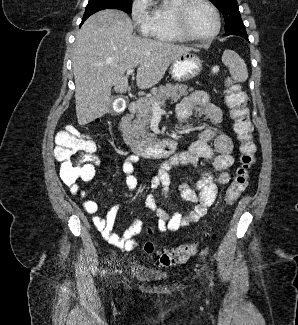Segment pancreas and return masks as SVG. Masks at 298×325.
Wrapping results in <instances>:
<instances>
[{
  "instance_id": "1",
  "label": "pancreas",
  "mask_w": 298,
  "mask_h": 325,
  "mask_svg": "<svg viewBox=\"0 0 298 325\" xmlns=\"http://www.w3.org/2000/svg\"><path fill=\"white\" fill-rule=\"evenodd\" d=\"M194 90L193 86H187V84H161L157 88H151L150 92L152 96H145V98H138L136 100L137 112L135 114L131 126L132 132L137 138V142H148V140H156L157 136L154 132H149L150 118L152 112V100L155 102H162L160 106H164L165 100H171V102H178L179 98L186 96L189 92Z\"/></svg>"
}]
</instances>
